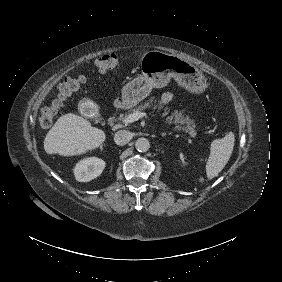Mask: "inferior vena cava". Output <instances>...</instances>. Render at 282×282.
I'll list each match as a JSON object with an SVG mask.
<instances>
[{"mask_svg":"<svg viewBox=\"0 0 282 282\" xmlns=\"http://www.w3.org/2000/svg\"><path fill=\"white\" fill-rule=\"evenodd\" d=\"M132 138V134L127 130H119L115 133L114 141L117 145H125Z\"/></svg>","mask_w":282,"mask_h":282,"instance_id":"602c4592","label":"inferior vena cava"}]
</instances>
